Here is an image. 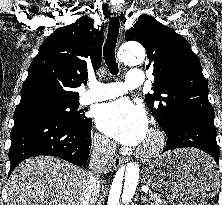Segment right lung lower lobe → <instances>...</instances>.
Wrapping results in <instances>:
<instances>
[{
    "mask_svg": "<svg viewBox=\"0 0 222 205\" xmlns=\"http://www.w3.org/2000/svg\"><path fill=\"white\" fill-rule=\"evenodd\" d=\"M91 126L92 122L88 126L71 125L46 112L15 113L9 175L21 161L37 155H52L85 166L91 149Z\"/></svg>",
    "mask_w": 222,
    "mask_h": 205,
    "instance_id": "1",
    "label": "right lung lower lobe"
}]
</instances>
